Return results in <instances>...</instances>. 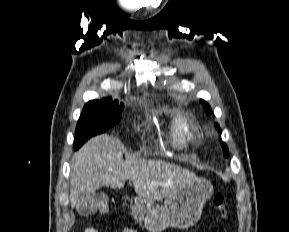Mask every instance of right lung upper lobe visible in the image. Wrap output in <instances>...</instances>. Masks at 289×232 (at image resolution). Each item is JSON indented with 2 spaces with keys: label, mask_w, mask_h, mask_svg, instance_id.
I'll return each instance as SVG.
<instances>
[{
  "label": "right lung upper lobe",
  "mask_w": 289,
  "mask_h": 232,
  "mask_svg": "<svg viewBox=\"0 0 289 232\" xmlns=\"http://www.w3.org/2000/svg\"><path fill=\"white\" fill-rule=\"evenodd\" d=\"M105 100H110V99H105ZM115 102H117V101H115ZM121 105H123V104H121Z\"/></svg>",
  "instance_id": "right-lung-upper-lobe-1"
}]
</instances>
